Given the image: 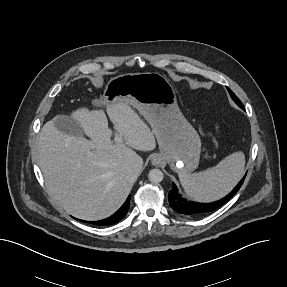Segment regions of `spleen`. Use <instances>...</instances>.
<instances>
[{
	"mask_svg": "<svg viewBox=\"0 0 287 287\" xmlns=\"http://www.w3.org/2000/svg\"><path fill=\"white\" fill-rule=\"evenodd\" d=\"M245 156L234 152L216 166L193 174H179L185 193L195 201L212 202L227 195L244 175Z\"/></svg>",
	"mask_w": 287,
	"mask_h": 287,
	"instance_id": "spleen-1",
	"label": "spleen"
}]
</instances>
